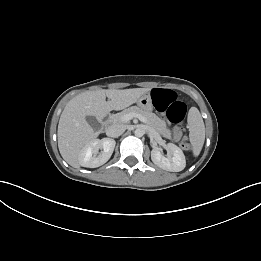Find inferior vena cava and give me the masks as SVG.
I'll use <instances>...</instances> for the list:
<instances>
[{
  "label": "inferior vena cava",
  "instance_id": "inferior-vena-cava-1",
  "mask_svg": "<svg viewBox=\"0 0 261 261\" xmlns=\"http://www.w3.org/2000/svg\"><path fill=\"white\" fill-rule=\"evenodd\" d=\"M126 127L122 124H112L106 129V135L108 137L117 138L124 133Z\"/></svg>",
  "mask_w": 261,
  "mask_h": 261
}]
</instances>
